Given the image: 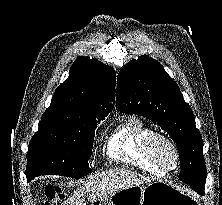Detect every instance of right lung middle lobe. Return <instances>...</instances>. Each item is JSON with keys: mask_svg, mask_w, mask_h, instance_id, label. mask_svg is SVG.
<instances>
[{"mask_svg": "<svg viewBox=\"0 0 222 205\" xmlns=\"http://www.w3.org/2000/svg\"><path fill=\"white\" fill-rule=\"evenodd\" d=\"M104 119L41 120L28 146L26 176L89 174L95 129Z\"/></svg>", "mask_w": 222, "mask_h": 205, "instance_id": "right-lung-middle-lobe-1", "label": "right lung middle lobe"}]
</instances>
